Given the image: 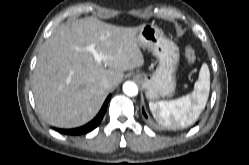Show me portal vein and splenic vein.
Listing matches in <instances>:
<instances>
[{
	"label": "portal vein and splenic vein",
	"mask_w": 249,
	"mask_h": 165,
	"mask_svg": "<svg viewBox=\"0 0 249 165\" xmlns=\"http://www.w3.org/2000/svg\"><path fill=\"white\" fill-rule=\"evenodd\" d=\"M87 50L90 51L93 54V56H94L97 63H100L102 60L111 59V57H109V56L102 55V54L98 53V51L95 48V44L89 45L87 47Z\"/></svg>",
	"instance_id": "1"
}]
</instances>
